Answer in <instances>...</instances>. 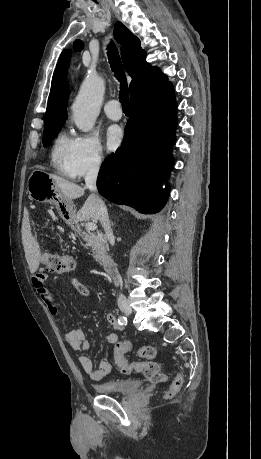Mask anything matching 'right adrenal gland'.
<instances>
[{"instance_id":"right-adrenal-gland-1","label":"right adrenal gland","mask_w":261,"mask_h":459,"mask_svg":"<svg viewBox=\"0 0 261 459\" xmlns=\"http://www.w3.org/2000/svg\"><path fill=\"white\" fill-rule=\"evenodd\" d=\"M111 224H112V226H114V223H113V222H111Z\"/></svg>"}]
</instances>
